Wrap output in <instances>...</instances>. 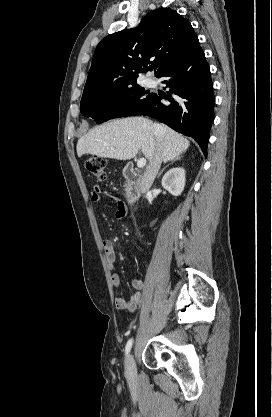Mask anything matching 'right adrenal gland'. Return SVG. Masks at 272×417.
<instances>
[{"label": "right adrenal gland", "instance_id": "obj_1", "mask_svg": "<svg viewBox=\"0 0 272 417\" xmlns=\"http://www.w3.org/2000/svg\"><path fill=\"white\" fill-rule=\"evenodd\" d=\"M181 158L180 157H177L176 159H173V160H171L170 161V163L169 164H172V163H174L175 161H179ZM168 164V165H169ZM168 165H166L159 173H158V175H157V178H159L160 176H161V174L163 173V171H164V169L168 166Z\"/></svg>", "mask_w": 272, "mask_h": 417}]
</instances>
